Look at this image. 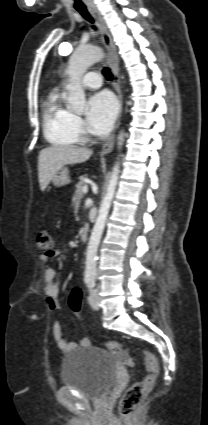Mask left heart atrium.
Listing matches in <instances>:
<instances>
[{
	"label": "left heart atrium",
	"instance_id": "left-heart-atrium-1",
	"mask_svg": "<svg viewBox=\"0 0 208 425\" xmlns=\"http://www.w3.org/2000/svg\"><path fill=\"white\" fill-rule=\"evenodd\" d=\"M117 111V102L111 93L102 91L94 94L88 101V130L95 135L107 134L112 128Z\"/></svg>",
	"mask_w": 208,
	"mask_h": 425
}]
</instances>
